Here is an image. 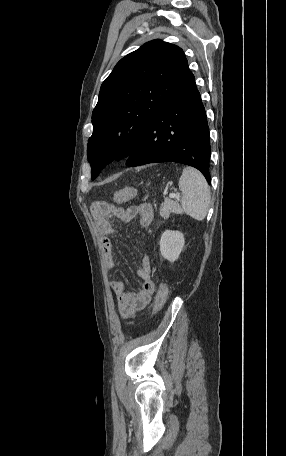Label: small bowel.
I'll return each mask as SVG.
<instances>
[{
    "instance_id": "obj_1",
    "label": "small bowel",
    "mask_w": 286,
    "mask_h": 456,
    "mask_svg": "<svg viewBox=\"0 0 286 456\" xmlns=\"http://www.w3.org/2000/svg\"><path fill=\"white\" fill-rule=\"evenodd\" d=\"M111 215H118L125 222L138 219L142 228H149L154 219V209L151 204L144 203L139 206L126 209L117 208L114 205L107 211L94 210V217L100 228V243L103 261L107 268L114 269L116 262L113 255V243L111 235L115 232L110 224ZM137 275L142 282L141 288L136 293L126 291L125 285L120 280L110 281V287L115 293L119 313L123 318H129L136 312L142 310L150 302L154 290V283L151 279V259L144 256L141 259Z\"/></svg>"
}]
</instances>
